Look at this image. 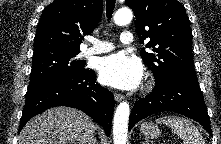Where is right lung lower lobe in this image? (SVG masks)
<instances>
[{"mask_svg":"<svg viewBox=\"0 0 221 144\" xmlns=\"http://www.w3.org/2000/svg\"><path fill=\"white\" fill-rule=\"evenodd\" d=\"M55 106H68L85 112L106 129L107 135L110 134L114 97L96 83L93 70L54 76L28 88L19 132L32 117Z\"/></svg>","mask_w":221,"mask_h":144,"instance_id":"obj_1","label":"right lung lower lobe"}]
</instances>
